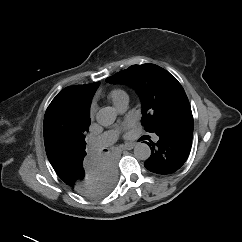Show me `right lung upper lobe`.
<instances>
[{
	"label": "right lung upper lobe",
	"mask_w": 242,
	"mask_h": 242,
	"mask_svg": "<svg viewBox=\"0 0 242 242\" xmlns=\"http://www.w3.org/2000/svg\"><path fill=\"white\" fill-rule=\"evenodd\" d=\"M99 85L100 82H96L67 87L46 110L44 143L57 175L70 169L86 154L82 141L91 123V100Z\"/></svg>",
	"instance_id": "obj_1"
}]
</instances>
